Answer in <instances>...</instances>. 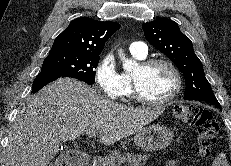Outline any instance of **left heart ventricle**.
<instances>
[{"instance_id": "b2bd125f", "label": "left heart ventricle", "mask_w": 231, "mask_h": 166, "mask_svg": "<svg viewBox=\"0 0 231 166\" xmlns=\"http://www.w3.org/2000/svg\"><path fill=\"white\" fill-rule=\"evenodd\" d=\"M141 94L153 100L166 98L174 88L171 71L164 65H154L148 69L137 67L133 73Z\"/></svg>"}]
</instances>
